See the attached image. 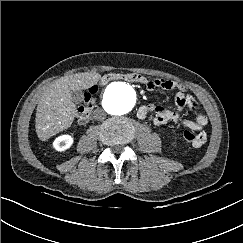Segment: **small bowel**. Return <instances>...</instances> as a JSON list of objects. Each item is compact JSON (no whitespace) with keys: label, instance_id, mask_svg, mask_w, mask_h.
<instances>
[{"label":"small bowel","instance_id":"small-bowel-1","mask_svg":"<svg viewBox=\"0 0 243 243\" xmlns=\"http://www.w3.org/2000/svg\"><path fill=\"white\" fill-rule=\"evenodd\" d=\"M146 88L150 91L160 88L163 90H176L175 105L176 110H168L160 106L146 105L142 106L138 111V116L141 119L149 118L155 125H164L168 122H177L179 120V112L184 107H189L193 111H197V103L195 99L186 92L185 88L168 79H155L146 81ZM207 117L204 114L198 113L194 121L184 120L183 125L191 131L196 132V141L192 143L195 148L201 147L207 140L205 126L207 125Z\"/></svg>","mask_w":243,"mask_h":243}]
</instances>
